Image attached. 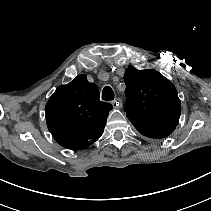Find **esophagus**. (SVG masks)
Wrapping results in <instances>:
<instances>
[{"label": "esophagus", "instance_id": "obj_1", "mask_svg": "<svg viewBox=\"0 0 211 211\" xmlns=\"http://www.w3.org/2000/svg\"><path fill=\"white\" fill-rule=\"evenodd\" d=\"M112 105L114 108L119 109L122 107V102L119 98H117L114 101H112Z\"/></svg>", "mask_w": 211, "mask_h": 211}]
</instances>
